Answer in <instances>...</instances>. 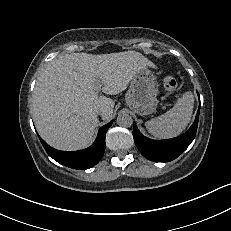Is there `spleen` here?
<instances>
[{
    "instance_id": "1",
    "label": "spleen",
    "mask_w": 231,
    "mask_h": 231,
    "mask_svg": "<svg viewBox=\"0 0 231 231\" xmlns=\"http://www.w3.org/2000/svg\"><path fill=\"white\" fill-rule=\"evenodd\" d=\"M194 96L186 92L166 113L146 122L148 132L154 137L166 139L181 134L191 120Z\"/></svg>"
}]
</instances>
